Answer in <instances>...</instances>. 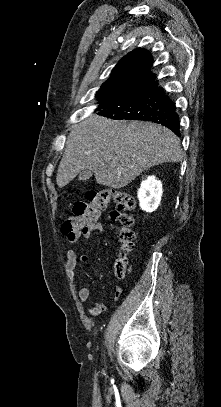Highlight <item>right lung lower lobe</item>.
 <instances>
[{
	"instance_id": "1",
	"label": "right lung lower lobe",
	"mask_w": 221,
	"mask_h": 407,
	"mask_svg": "<svg viewBox=\"0 0 221 407\" xmlns=\"http://www.w3.org/2000/svg\"><path fill=\"white\" fill-rule=\"evenodd\" d=\"M112 119L144 120L162 124L180 135L176 106L158 87L156 79L121 100L106 106L99 113Z\"/></svg>"
}]
</instances>
